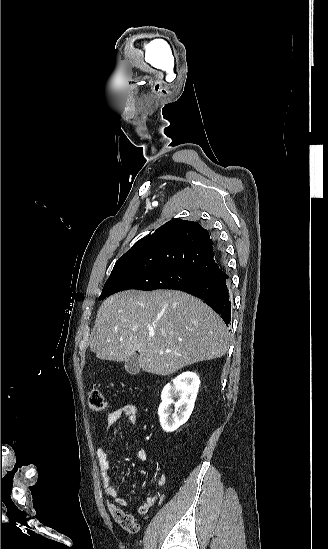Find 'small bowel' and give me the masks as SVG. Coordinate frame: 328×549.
<instances>
[{
  "label": "small bowel",
  "instance_id": "1",
  "mask_svg": "<svg viewBox=\"0 0 328 549\" xmlns=\"http://www.w3.org/2000/svg\"><path fill=\"white\" fill-rule=\"evenodd\" d=\"M137 413L138 408L134 404H126L118 409L113 410L107 417V429L113 426L115 423L120 421L122 418H126L130 423H137ZM96 457L99 465L101 483L107 496H109L114 504L119 506H126L128 502L122 498L119 494L118 489L112 484L110 476V464L106 454L105 449L100 446L96 450ZM134 458L138 461H144L147 458V452L144 448H141L135 455ZM166 482V475L160 474L157 479V487L160 489ZM160 491H157L152 496H149L145 502L140 506L139 512L141 514H146L151 507H153L158 500L161 498Z\"/></svg>",
  "mask_w": 328,
  "mask_h": 549
}]
</instances>
